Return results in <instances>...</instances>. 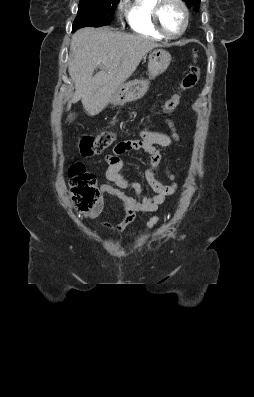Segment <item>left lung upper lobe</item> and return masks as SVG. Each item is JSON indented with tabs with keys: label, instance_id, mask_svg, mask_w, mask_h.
I'll return each mask as SVG.
<instances>
[{
	"label": "left lung upper lobe",
	"instance_id": "5c2ea615",
	"mask_svg": "<svg viewBox=\"0 0 254 397\" xmlns=\"http://www.w3.org/2000/svg\"><path fill=\"white\" fill-rule=\"evenodd\" d=\"M184 1L187 3V5L189 7H191V6H193V5H195V4L200 2V0H184ZM195 10H197V8H195Z\"/></svg>",
	"mask_w": 254,
	"mask_h": 397
}]
</instances>
